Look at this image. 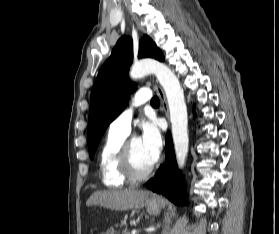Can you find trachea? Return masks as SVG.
I'll use <instances>...</instances> for the list:
<instances>
[{
    "label": "trachea",
    "instance_id": "trachea-1",
    "mask_svg": "<svg viewBox=\"0 0 279 234\" xmlns=\"http://www.w3.org/2000/svg\"><path fill=\"white\" fill-rule=\"evenodd\" d=\"M160 104L159 98L157 96H154L151 100V105H158Z\"/></svg>",
    "mask_w": 279,
    "mask_h": 234
}]
</instances>
